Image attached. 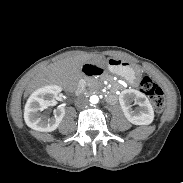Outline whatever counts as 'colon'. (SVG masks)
Here are the masks:
<instances>
[{
  "mask_svg": "<svg viewBox=\"0 0 183 183\" xmlns=\"http://www.w3.org/2000/svg\"><path fill=\"white\" fill-rule=\"evenodd\" d=\"M141 90L148 96L157 113H161L165 105V97L163 89L150 77H144L141 81Z\"/></svg>",
  "mask_w": 183,
  "mask_h": 183,
  "instance_id": "colon-1",
  "label": "colon"
}]
</instances>
